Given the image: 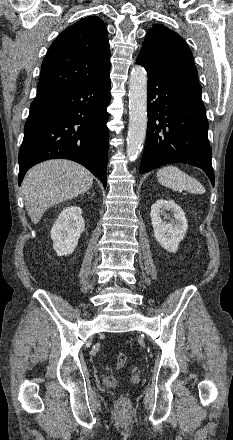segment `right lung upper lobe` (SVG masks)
Masks as SVG:
<instances>
[{"instance_id": "right-lung-upper-lobe-1", "label": "right lung upper lobe", "mask_w": 233, "mask_h": 440, "mask_svg": "<svg viewBox=\"0 0 233 440\" xmlns=\"http://www.w3.org/2000/svg\"><path fill=\"white\" fill-rule=\"evenodd\" d=\"M110 73L107 29L95 16L64 30L42 63L37 93L86 84Z\"/></svg>"}]
</instances>
